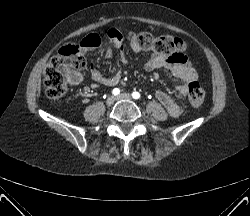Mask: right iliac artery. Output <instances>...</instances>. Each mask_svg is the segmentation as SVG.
<instances>
[{"label":"right iliac artery","instance_id":"obj_1","mask_svg":"<svg viewBox=\"0 0 250 216\" xmlns=\"http://www.w3.org/2000/svg\"><path fill=\"white\" fill-rule=\"evenodd\" d=\"M120 93V90L118 88H114L112 91V94H114L115 96L118 95Z\"/></svg>","mask_w":250,"mask_h":216}]
</instances>
